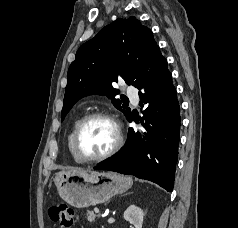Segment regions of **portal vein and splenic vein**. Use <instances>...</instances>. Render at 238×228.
I'll return each mask as SVG.
<instances>
[{
	"instance_id": "obj_1",
	"label": "portal vein and splenic vein",
	"mask_w": 238,
	"mask_h": 228,
	"mask_svg": "<svg viewBox=\"0 0 238 228\" xmlns=\"http://www.w3.org/2000/svg\"><path fill=\"white\" fill-rule=\"evenodd\" d=\"M94 211H95L96 213H99V212H100L98 208H95Z\"/></svg>"
}]
</instances>
